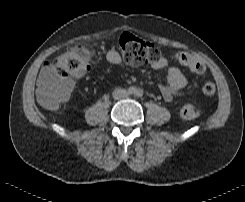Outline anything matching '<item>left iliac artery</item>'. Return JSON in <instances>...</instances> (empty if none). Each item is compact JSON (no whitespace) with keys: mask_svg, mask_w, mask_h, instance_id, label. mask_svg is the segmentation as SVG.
Segmentation results:
<instances>
[{"mask_svg":"<svg viewBox=\"0 0 245 202\" xmlns=\"http://www.w3.org/2000/svg\"><path fill=\"white\" fill-rule=\"evenodd\" d=\"M142 95H143V91H142L141 89H138V90L136 91V96H137V97H142Z\"/></svg>","mask_w":245,"mask_h":202,"instance_id":"1","label":"left iliac artery"}]
</instances>
